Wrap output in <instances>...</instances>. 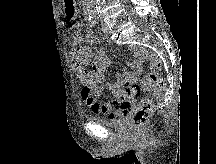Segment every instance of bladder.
<instances>
[{"label":"bladder","mask_w":216,"mask_h":164,"mask_svg":"<svg viewBox=\"0 0 216 164\" xmlns=\"http://www.w3.org/2000/svg\"><path fill=\"white\" fill-rule=\"evenodd\" d=\"M93 121L108 127H121L125 123V115H122L116 119H104L100 117H92Z\"/></svg>","instance_id":"bladder-1"}]
</instances>
